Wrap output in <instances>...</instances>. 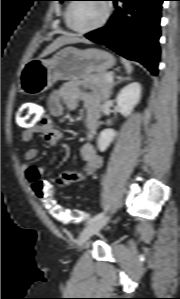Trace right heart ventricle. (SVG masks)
<instances>
[{"label": "right heart ventricle", "mask_w": 180, "mask_h": 299, "mask_svg": "<svg viewBox=\"0 0 180 299\" xmlns=\"http://www.w3.org/2000/svg\"><path fill=\"white\" fill-rule=\"evenodd\" d=\"M69 6H70V4H67V6L64 9V13H63L64 22H65L67 27H69L68 26V21H67Z\"/></svg>", "instance_id": "e07e8e85"}]
</instances>
